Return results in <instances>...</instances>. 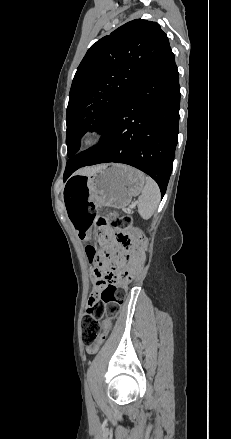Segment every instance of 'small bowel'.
Segmentation results:
<instances>
[{
  "label": "small bowel",
  "mask_w": 231,
  "mask_h": 439,
  "mask_svg": "<svg viewBox=\"0 0 231 439\" xmlns=\"http://www.w3.org/2000/svg\"><path fill=\"white\" fill-rule=\"evenodd\" d=\"M104 233L107 235V241L111 242V240H112L111 230L105 229ZM79 235L82 239H88L87 233H84V234L79 233ZM107 266L108 265H107L105 259L98 258V259L94 260V270H93V276H92V279L94 282V287L92 289L91 295H90L89 300H88L89 304L95 302L99 298L102 290L104 289L105 284L101 279V274H103V272L107 268ZM95 349H96V347H95Z\"/></svg>",
  "instance_id": "obj_1"
}]
</instances>
